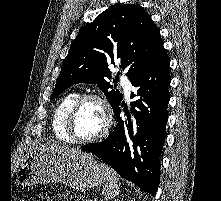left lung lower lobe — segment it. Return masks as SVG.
I'll list each match as a JSON object with an SVG mask.
<instances>
[{
    "mask_svg": "<svg viewBox=\"0 0 221 201\" xmlns=\"http://www.w3.org/2000/svg\"><path fill=\"white\" fill-rule=\"evenodd\" d=\"M170 60L167 54L138 79L131 82L136 88L131 98L127 119L120 118V102L113 110L117 125L108 138L82 149L108 163L123 178L135 183L146 193L155 195L160 179L161 151L166 134L169 103Z\"/></svg>",
    "mask_w": 221,
    "mask_h": 201,
    "instance_id": "1",
    "label": "left lung lower lobe"
}]
</instances>
